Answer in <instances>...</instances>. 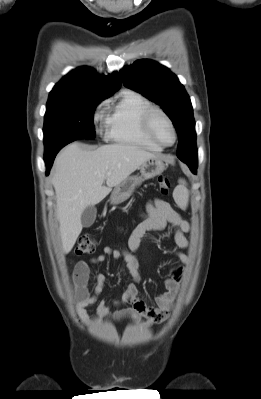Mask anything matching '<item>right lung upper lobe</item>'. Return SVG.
Segmentation results:
<instances>
[{
  "label": "right lung upper lobe",
  "instance_id": "1",
  "mask_svg": "<svg viewBox=\"0 0 261 399\" xmlns=\"http://www.w3.org/2000/svg\"><path fill=\"white\" fill-rule=\"evenodd\" d=\"M121 86L117 72L108 76H99L88 67L74 70L64 76L52 89L49 98H107Z\"/></svg>",
  "mask_w": 261,
  "mask_h": 399
}]
</instances>
